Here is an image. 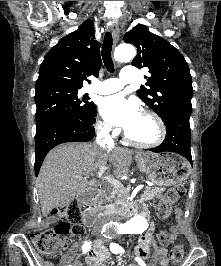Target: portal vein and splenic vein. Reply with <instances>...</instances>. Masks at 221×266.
<instances>
[{
    "mask_svg": "<svg viewBox=\"0 0 221 266\" xmlns=\"http://www.w3.org/2000/svg\"><path fill=\"white\" fill-rule=\"evenodd\" d=\"M107 168L106 167H101V169L98 171L97 173V177L106 180L110 185H112L113 187L119 188V189H124L122 183L120 181H118L117 179H115L114 177L111 176H104L103 177V173L105 172ZM76 177H81L79 175H77ZM82 178L87 179L88 176H83Z\"/></svg>",
    "mask_w": 221,
    "mask_h": 266,
    "instance_id": "portal-vein-and-splenic-vein-1",
    "label": "portal vein and splenic vein"
}]
</instances>
